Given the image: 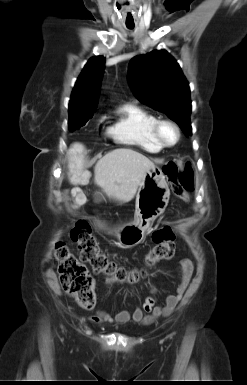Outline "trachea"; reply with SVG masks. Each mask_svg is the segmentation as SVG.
Returning a JSON list of instances; mask_svg holds the SVG:
<instances>
[{"mask_svg":"<svg viewBox=\"0 0 247 385\" xmlns=\"http://www.w3.org/2000/svg\"><path fill=\"white\" fill-rule=\"evenodd\" d=\"M133 27H134V26H127V28H129V29H133Z\"/></svg>","mask_w":247,"mask_h":385,"instance_id":"trachea-1","label":"trachea"}]
</instances>
